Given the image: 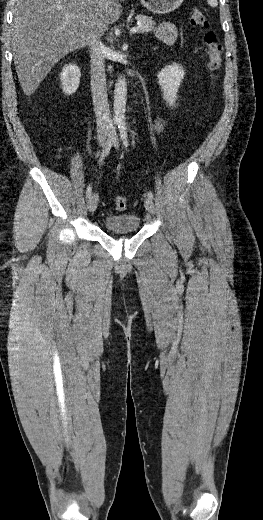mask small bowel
Wrapping results in <instances>:
<instances>
[{"instance_id": "c3829d8e", "label": "small bowel", "mask_w": 263, "mask_h": 520, "mask_svg": "<svg viewBox=\"0 0 263 520\" xmlns=\"http://www.w3.org/2000/svg\"><path fill=\"white\" fill-rule=\"evenodd\" d=\"M178 33L176 28L170 23H163L157 30V37L168 44H172L177 39ZM164 126L163 119L159 118L154 124L155 131L159 132Z\"/></svg>"}]
</instances>
